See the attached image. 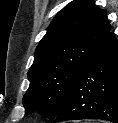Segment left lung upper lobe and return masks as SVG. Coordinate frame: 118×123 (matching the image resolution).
Returning a JSON list of instances; mask_svg holds the SVG:
<instances>
[{
	"label": "left lung upper lobe",
	"instance_id": "left-lung-upper-lobe-1",
	"mask_svg": "<svg viewBox=\"0 0 118 123\" xmlns=\"http://www.w3.org/2000/svg\"><path fill=\"white\" fill-rule=\"evenodd\" d=\"M109 32L106 11L92 0L66 5L36 48L28 71L30 85L23 97L25 112L38 110L42 116L55 119L78 74Z\"/></svg>",
	"mask_w": 118,
	"mask_h": 123
}]
</instances>
